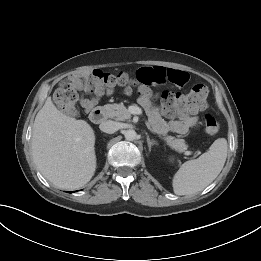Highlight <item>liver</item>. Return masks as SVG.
<instances>
[{
  "instance_id": "liver-1",
  "label": "liver",
  "mask_w": 261,
  "mask_h": 261,
  "mask_svg": "<svg viewBox=\"0 0 261 261\" xmlns=\"http://www.w3.org/2000/svg\"><path fill=\"white\" fill-rule=\"evenodd\" d=\"M31 141L34 163L56 187L77 189L93 177L96 155L92 127L60 112L51 97L35 117Z\"/></svg>"
}]
</instances>
